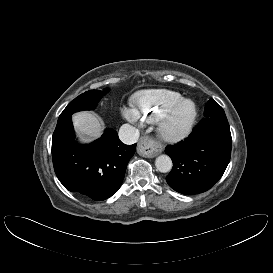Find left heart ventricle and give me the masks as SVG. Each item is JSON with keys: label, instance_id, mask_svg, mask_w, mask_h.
<instances>
[{"label": "left heart ventricle", "instance_id": "obj_1", "mask_svg": "<svg viewBox=\"0 0 273 273\" xmlns=\"http://www.w3.org/2000/svg\"><path fill=\"white\" fill-rule=\"evenodd\" d=\"M190 108L186 107L177 117V124H181L183 122V120L185 119V117L187 116L188 112H189Z\"/></svg>", "mask_w": 273, "mask_h": 273}]
</instances>
